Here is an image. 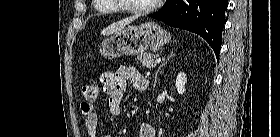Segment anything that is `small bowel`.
I'll return each instance as SVG.
<instances>
[{
    "label": "small bowel",
    "instance_id": "obj_1",
    "mask_svg": "<svg viewBox=\"0 0 280 137\" xmlns=\"http://www.w3.org/2000/svg\"><path fill=\"white\" fill-rule=\"evenodd\" d=\"M100 81L105 94L109 97V114L117 117L120 115V102L127 89V83L131 82L137 91H144L148 87V81L141 73L131 66H120L116 71L102 74ZM81 111L85 117V126L90 137H95L98 127V115L91 102H82ZM111 137V136H106ZM138 137H154V129L150 124H142Z\"/></svg>",
    "mask_w": 280,
    "mask_h": 137
}]
</instances>
